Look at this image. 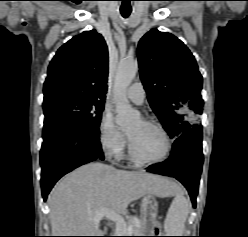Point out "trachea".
<instances>
[{"label": "trachea", "instance_id": "3493384b", "mask_svg": "<svg viewBox=\"0 0 248 237\" xmlns=\"http://www.w3.org/2000/svg\"><path fill=\"white\" fill-rule=\"evenodd\" d=\"M130 13H131L130 9H126V10L121 9V14L124 18H127L130 15Z\"/></svg>", "mask_w": 248, "mask_h": 237}]
</instances>
